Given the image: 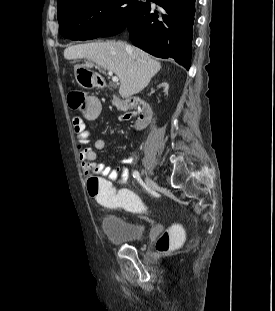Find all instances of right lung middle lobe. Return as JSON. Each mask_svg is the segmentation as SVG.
<instances>
[{
    "label": "right lung middle lobe",
    "instance_id": "1",
    "mask_svg": "<svg viewBox=\"0 0 275 311\" xmlns=\"http://www.w3.org/2000/svg\"><path fill=\"white\" fill-rule=\"evenodd\" d=\"M149 5L150 0H70L58 5L59 33L72 40L88 33L112 36Z\"/></svg>",
    "mask_w": 275,
    "mask_h": 311
}]
</instances>
